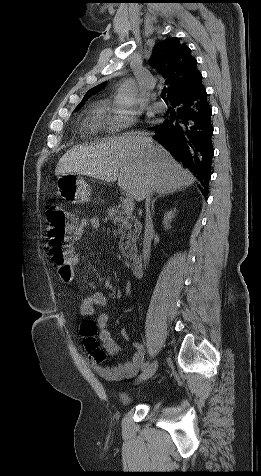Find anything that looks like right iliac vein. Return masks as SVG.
Listing matches in <instances>:
<instances>
[{
    "label": "right iliac vein",
    "instance_id": "63e3f726",
    "mask_svg": "<svg viewBox=\"0 0 261 476\" xmlns=\"http://www.w3.org/2000/svg\"><path fill=\"white\" fill-rule=\"evenodd\" d=\"M157 367H158V364L157 362H153L151 363L147 368H145L143 370V372L140 374L139 378H138V382H142V381H145L147 379H149L150 377H152L156 370H157Z\"/></svg>",
    "mask_w": 261,
    "mask_h": 476
}]
</instances>
